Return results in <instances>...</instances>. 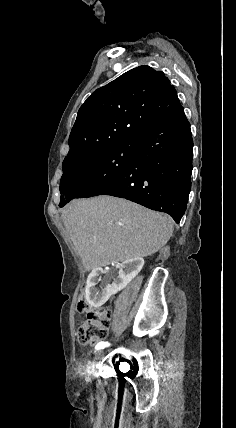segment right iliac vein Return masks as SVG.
Returning a JSON list of instances; mask_svg holds the SVG:
<instances>
[{
  "mask_svg": "<svg viewBox=\"0 0 236 428\" xmlns=\"http://www.w3.org/2000/svg\"><path fill=\"white\" fill-rule=\"evenodd\" d=\"M104 354H105V353H104L103 351H99V352H98V355H99V356H103Z\"/></svg>",
  "mask_w": 236,
  "mask_h": 428,
  "instance_id": "right-iliac-vein-1",
  "label": "right iliac vein"
}]
</instances>
